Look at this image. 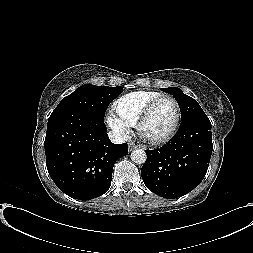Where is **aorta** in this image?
I'll use <instances>...</instances> for the list:
<instances>
[{
	"label": "aorta",
	"mask_w": 253,
	"mask_h": 253,
	"mask_svg": "<svg viewBox=\"0 0 253 253\" xmlns=\"http://www.w3.org/2000/svg\"><path fill=\"white\" fill-rule=\"evenodd\" d=\"M131 160L136 164H144L147 159V154L142 149H136L131 152Z\"/></svg>",
	"instance_id": "1"
}]
</instances>
